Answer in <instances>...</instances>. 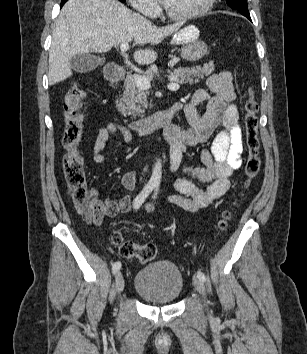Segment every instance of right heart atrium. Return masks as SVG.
Masks as SVG:
<instances>
[{
    "label": "right heart atrium",
    "instance_id": "obj_1",
    "mask_svg": "<svg viewBox=\"0 0 307 354\" xmlns=\"http://www.w3.org/2000/svg\"><path fill=\"white\" fill-rule=\"evenodd\" d=\"M129 4L140 13L155 16L159 11L158 0H128Z\"/></svg>",
    "mask_w": 307,
    "mask_h": 354
}]
</instances>
